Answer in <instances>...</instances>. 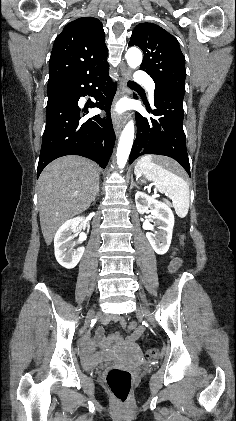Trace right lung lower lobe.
I'll list each match as a JSON object with an SVG mask.
<instances>
[{
	"mask_svg": "<svg viewBox=\"0 0 236 421\" xmlns=\"http://www.w3.org/2000/svg\"><path fill=\"white\" fill-rule=\"evenodd\" d=\"M108 69L107 66L48 85L63 90L67 96L47 102L37 177L51 161L65 155L84 156L96 161L102 168L106 167L115 141L110 117L115 90L110 87L112 82ZM86 95H92L96 100L90 107L104 109L106 118L99 115L87 120L83 118L87 110L81 111L78 101Z\"/></svg>",
	"mask_w": 236,
	"mask_h": 421,
	"instance_id": "1",
	"label": "right lung lower lobe"
}]
</instances>
